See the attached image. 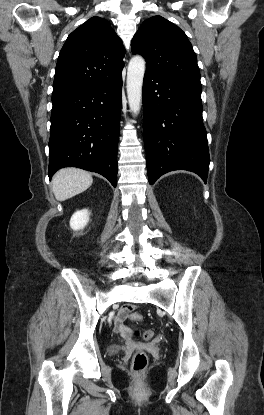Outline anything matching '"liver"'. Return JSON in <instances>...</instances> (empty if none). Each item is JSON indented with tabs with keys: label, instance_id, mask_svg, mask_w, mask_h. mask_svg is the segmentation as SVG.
Here are the masks:
<instances>
[{
	"label": "liver",
	"instance_id": "obj_1",
	"mask_svg": "<svg viewBox=\"0 0 264 415\" xmlns=\"http://www.w3.org/2000/svg\"><path fill=\"white\" fill-rule=\"evenodd\" d=\"M93 182L90 173L78 168H63L52 179V190L57 200L64 201L87 190Z\"/></svg>",
	"mask_w": 264,
	"mask_h": 415
}]
</instances>
